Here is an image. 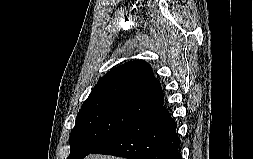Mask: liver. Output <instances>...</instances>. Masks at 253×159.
<instances>
[{
  "instance_id": "6515ba94",
  "label": "liver",
  "mask_w": 253,
  "mask_h": 159,
  "mask_svg": "<svg viewBox=\"0 0 253 159\" xmlns=\"http://www.w3.org/2000/svg\"><path fill=\"white\" fill-rule=\"evenodd\" d=\"M84 159H123L115 156H104L99 154H90Z\"/></svg>"
}]
</instances>
